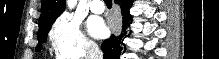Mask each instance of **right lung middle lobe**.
Returning <instances> with one entry per match:
<instances>
[{
	"label": "right lung middle lobe",
	"mask_w": 219,
	"mask_h": 59,
	"mask_svg": "<svg viewBox=\"0 0 219 59\" xmlns=\"http://www.w3.org/2000/svg\"><path fill=\"white\" fill-rule=\"evenodd\" d=\"M51 25L47 26V27H42V28H39V31L37 33V36H38V45L36 47V51H40L42 49V45L41 43L43 42H46V38H47V34L49 32V29H50Z\"/></svg>",
	"instance_id": "dd1d6c3e"
}]
</instances>
